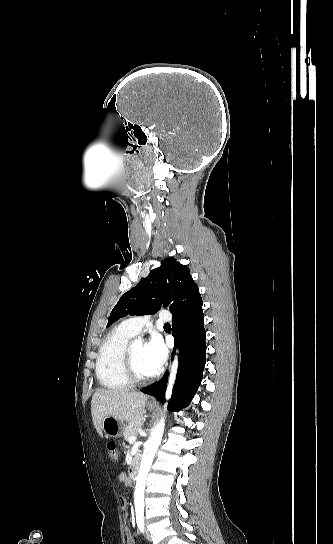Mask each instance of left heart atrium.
Wrapping results in <instances>:
<instances>
[{
	"instance_id": "left-heart-atrium-1",
	"label": "left heart atrium",
	"mask_w": 333,
	"mask_h": 544,
	"mask_svg": "<svg viewBox=\"0 0 333 544\" xmlns=\"http://www.w3.org/2000/svg\"><path fill=\"white\" fill-rule=\"evenodd\" d=\"M166 347L158 336H153L145 346V357L150 368L157 372L166 360Z\"/></svg>"
}]
</instances>
